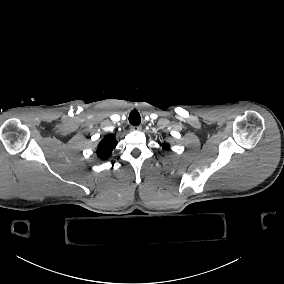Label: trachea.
<instances>
[{
  "mask_svg": "<svg viewBox=\"0 0 284 284\" xmlns=\"http://www.w3.org/2000/svg\"><path fill=\"white\" fill-rule=\"evenodd\" d=\"M129 122L130 124L137 126L141 122V117L138 111L133 110L129 115Z\"/></svg>",
  "mask_w": 284,
  "mask_h": 284,
  "instance_id": "trachea-1",
  "label": "trachea"
}]
</instances>
